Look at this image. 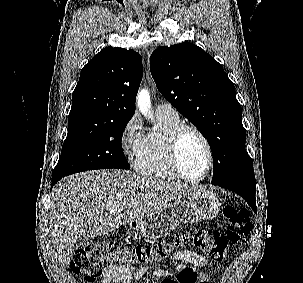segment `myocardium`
Instances as JSON below:
<instances>
[{
	"label": "myocardium",
	"mask_w": 303,
	"mask_h": 283,
	"mask_svg": "<svg viewBox=\"0 0 303 283\" xmlns=\"http://www.w3.org/2000/svg\"><path fill=\"white\" fill-rule=\"evenodd\" d=\"M191 131L195 133L200 140L202 141L206 152L208 156V164L205 173L198 178H191L185 174L183 171L181 164H180V159H179V145L180 141L184 135L185 132ZM167 152H168V158L169 162L173 168V170L176 172V174L188 181V182H200L203 181L211 172L213 168V163H214V156H213V150L211 147V144L205 134L196 126L192 124H187V123H180L176 127L172 129V131L169 133L168 138H167Z\"/></svg>",
	"instance_id": "1"
}]
</instances>
